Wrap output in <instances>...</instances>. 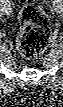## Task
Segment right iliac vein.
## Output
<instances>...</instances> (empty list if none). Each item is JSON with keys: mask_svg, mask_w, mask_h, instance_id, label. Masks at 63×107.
Segmentation results:
<instances>
[{"mask_svg": "<svg viewBox=\"0 0 63 107\" xmlns=\"http://www.w3.org/2000/svg\"><path fill=\"white\" fill-rule=\"evenodd\" d=\"M0 13H1V15L5 14V13L7 15H9L10 12L8 11V5L2 4L1 7H0Z\"/></svg>", "mask_w": 63, "mask_h": 107, "instance_id": "right-iliac-vein-1", "label": "right iliac vein"}]
</instances>
